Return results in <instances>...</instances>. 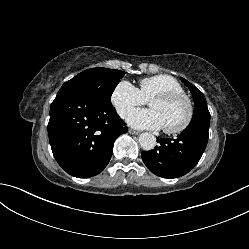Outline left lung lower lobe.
<instances>
[{"instance_id": "left-lung-lower-lobe-1", "label": "left lung lower lobe", "mask_w": 249, "mask_h": 249, "mask_svg": "<svg viewBox=\"0 0 249 249\" xmlns=\"http://www.w3.org/2000/svg\"><path fill=\"white\" fill-rule=\"evenodd\" d=\"M209 125V117H200L191 120L175 139L157 137L159 145L141 154L144 164L152 173L163 178L185 175L195 167L206 148Z\"/></svg>"}]
</instances>
